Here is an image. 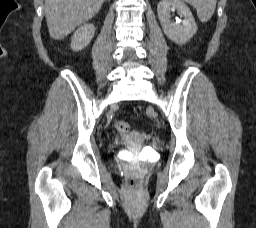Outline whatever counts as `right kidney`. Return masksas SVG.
<instances>
[{
	"mask_svg": "<svg viewBox=\"0 0 256 228\" xmlns=\"http://www.w3.org/2000/svg\"><path fill=\"white\" fill-rule=\"evenodd\" d=\"M95 28L92 24H84L78 28L71 39V49L79 51L85 48L94 37Z\"/></svg>",
	"mask_w": 256,
	"mask_h": 228,
	"instance_id": "1",
	"label": "right kidney"
}]
</instances>
